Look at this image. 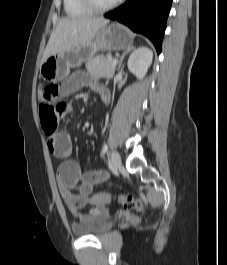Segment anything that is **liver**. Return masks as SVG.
Listing matches in <instances>:
<instances>
[{"instance_id": "1", "label": "liver", "mask_w": 227, "mask_h": 265, "mask_svg": "<svg viewBox=\"0 0 227 265\" xmlns=\"http://www.w3.org/2000/svg\"><path fill=\"white\" fill-rule=\"evenodd\" d=\"M108 23L109 20L102 17L61 18L51 33L41 64L51 55L91 43L98 31Z\"/></svg>"}]
</instances>
